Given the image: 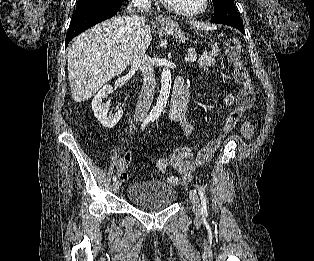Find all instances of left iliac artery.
<instances>
[{
    "instance_id": "left-iliac-artery-1",
    "label": "left iliac artery",
    "mask_w": 314,
    "mask_h": 261,
    "mask_svg": "<svg viewBox=\"0 0 314 261\" xmlns=\"http://www.w3.org/2000/svg\"><path fill=\"white\" fill-rule=\"evenodd\" d=\"M197 188H198L200 199H201L202 214L207 215L208 212H207V201H206L205 193H204L203 189L200 186H197Z\"/></svg>"
}]
</instances>
